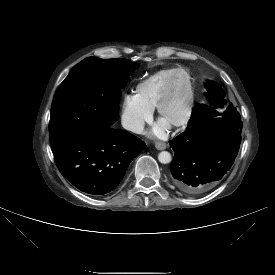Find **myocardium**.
<instances>
[{"mask_svg": "<svg viewBox=\"0 0 275 275\" xmlns=\"http://www.w3.org/2000/svg\"><path fill=\"white\" fill-rule=\"evenodd\" d=\"M180 72L183 73L186 77L187 96H186L184 110H183L181 117L178 118L177 120L169 122L167 125L170 128H180V127L185 126L189 122L191 115H192V111H193L194 96H195L194 84H193L192 77H191L190 73L188 72V70H186L185 68H182V67H178L173 70L172 75H171L166 87L164 88L163 92L161 93L160 97L157 100V103L155 105V111H156L158 119L160 121H163L164 108L172 94L174 84H175V76Z\"/></svg>", "mask_w": 275, "mask_h": 275, "instance_id": "obj_1", "label": "myocardium"}]
</instances>
